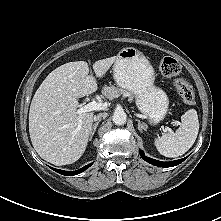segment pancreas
Returning <instances> with one entry per match:
<instances>
[{
  "instance_id": "pancreas-1",
  "label": "pancreas",
  "mask_w": 221,
  "mask_h": 221,
  "mask_svg": "<svg viewBox=\"0 0 221 221\" xmlns=\"http://www.w3.org/2000/svg\"><path fill=\"white\" fill-rule=\"evenodd\" d=\"M103 95L108 98V99H114V98H118L121 95L128 97L130 101L133 100L134 96L132 93L128 92L127 90H124L122 88H117L113 85L111 86H104L103 90H102Z\"/></svg>"
}]
</instances>
